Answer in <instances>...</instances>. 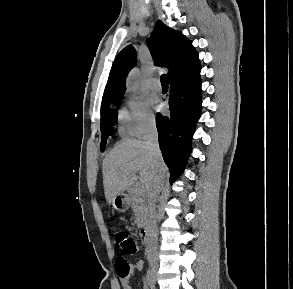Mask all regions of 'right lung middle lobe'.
Returning <instances> with one entry per match:
<instances>
[{
	"label": "right lung middle lobe",
	"instance_id": "dd1d6c3e",
	"mask_svg": "<svg viewBox=\"0 0 293 289\" xmlns=\"http://www.w3.org/2000/svg\"><path fill=\"white\" fill-rule=\"evenodd\" d=\"M122 96H117L114 98H111L101 105V133H102V139H101V151H104L105 145H106V138L108 136L113 135V124L117 123V113H108L105 111L106 107L110 105L113 101L119 99Z\"/></svg>",
	"mask_w": 293,
	"mask_h": 289
}]
</instances>
